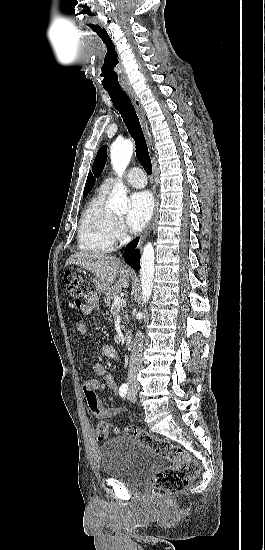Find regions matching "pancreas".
Listing matches in <instances>:
<instances>
[{"label": "pancreas", "instance_id": "1", "mask_svg": "<svg viewBox=\"0 0 265 550\" xmlns=\"http://www.w3.org/2000/svg\"><path fill=\"white\" fill-rule=\"evenodd\" d=\"M120 293H121V289L117 285H114L113 287L109 288L108 291L105 293L104 303L107 306L111 307L114 298L119 297Z\"/></svg>", "mask_w": 265, "mask_h": 550}]
</instances>
